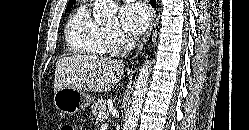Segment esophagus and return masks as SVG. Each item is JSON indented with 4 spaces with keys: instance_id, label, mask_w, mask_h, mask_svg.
<instances>
[{
    "instance_id": "1",
    "label": "esophagus",
    "mask_w": 249,
    "mask_h": 130,
    "mask_svg": "<svg viewBox=\"0 0 249 130\" xmlns=\"http://www.w3.org/2000/svg\"><path fill=\"white\" fill-rule=\"evenodd\" d=\"M155 20H156V13H155V10L152 9L151 10L150 25H149L145 35L143 36V38L141 39V41L138 44L137 55L140 53V51L143 49V47L145 46V44L149 40L151 33H152V30H153V27H154V24H155Z\"/></svg>"
}]
</instances>
